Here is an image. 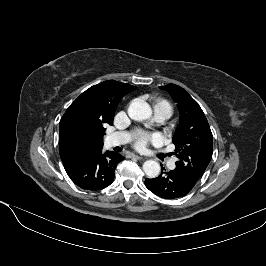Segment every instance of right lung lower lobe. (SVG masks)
<instances>
[{
  "instance_id": "1",
  "label": "right lung lower lobe",
  "mask_w": 266,
  "mask_h": 266,
  "mask_svg": "<svg viewBox=\"0 0 266 266\" xmlns=\"http://www.w3.org/2000/svg\"><path fill=\"white\" fill-rule=\"evenodd\" d=\"M124 159L119 153L95 150L64 166L70 179L85 190H101L114 180V171Z\"/></svg>"
}]
</instances>
